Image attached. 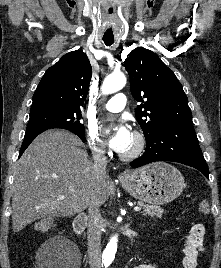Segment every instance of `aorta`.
I'll list each match as a JSON object with an SVG mask.
<instances>
[{
	"instance_id": "762f6f07",
	"label": "aorta",
	"mask_w": 221,
	"mask_h": 268,
	"mask_svg": "<svg viewBox=\"0 0 221 268\" xmlns=\"http://www.w3.org/2000/svg\"><path fill=\"white\" fill-rule=\"evenodd\" d=\"M126 85V77L124 74H113L108 76L101 87L103 95H108L121 90ZM117 236H113L104 250V259L106 263H111L115 257L117 250Z\"/></svg>"
}]
</instances>
